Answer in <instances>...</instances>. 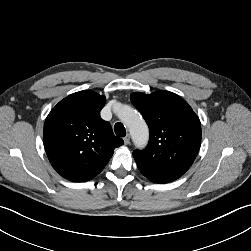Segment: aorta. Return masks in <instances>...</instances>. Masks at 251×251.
I'll use <instances>...</instances> for the list:
<instances>
[{
    "label": "aorta",
    "instance_id": "aorta-1",
    "mask_svg": "<svg viewBox=\"0 0 251 251\" xmlns=\"http://www.w3.org/2000/svg\"><path fill=\"white\" fill-rule=\"evenodd\" d=\"M118 118L129 128L134 142L144 145L148 140V127L141 115L128 105H120L116 111Z\"/></svg>",
    "mask_w": 251,
    "mask_h": 251
}]
</instances>
